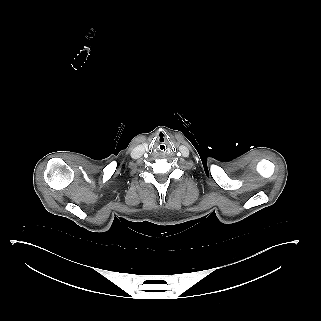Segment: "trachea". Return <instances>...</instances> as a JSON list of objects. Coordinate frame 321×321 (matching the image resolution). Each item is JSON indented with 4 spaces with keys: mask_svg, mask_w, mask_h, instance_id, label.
<instances>
[{
    "mask_svg": "<svg viewBox=\"0 0 321 321\" xmlns=\"http://www.w3.org/2000/svg\"><path fill=\"white\" fill-rule=\"evenodd\" d=\"M156 149H157L158 152L163 153V152L166 151L167 146H166L165 143L160 142V143L157 144Z\"/></svg>",
    "mask_w": 321,
    "mask_h": 321,
    "instance_id": "1",
    "label": "trachea"
}]
</instances>
